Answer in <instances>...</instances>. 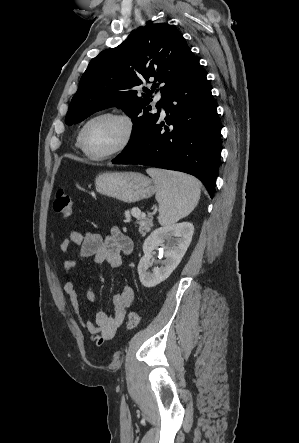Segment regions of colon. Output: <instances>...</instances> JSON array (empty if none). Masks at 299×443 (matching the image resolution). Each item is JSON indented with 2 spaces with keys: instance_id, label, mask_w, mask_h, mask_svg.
Here are the masks:
<instances>
[{
  "instance_id": "colon-1",
  "label": "colon",
  "mask_w": 299,
  "mask_h": 443,
  "mask_svg": "<svg viewBox=\"0 0 299 443\" xmlns=\"http://www.w3.org/2000/svg\"><path fill=\"white\" fill-rule=\"evenodd\" d=\"M54 210L65 218H70L73 214L72 201L70 196L63 190L59 189L56 193ZM140 322V316L137 311L132 310L127 314L126 326L129 330L135 329Z\"/></svg>"
}]
</instances>
